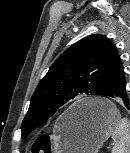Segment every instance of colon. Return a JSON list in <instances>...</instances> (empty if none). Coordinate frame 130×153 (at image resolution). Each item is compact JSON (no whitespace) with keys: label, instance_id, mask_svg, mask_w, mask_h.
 Listing matches in <instances>:
<instances>
[{"label":"colon","instance_id":"obj_1","mask_svg":"<svg viewBox=\"0 0 130 153\" xmlns=\"http://www.w3.org/2000/svg\"><path fill=\"white\" fill-rule=\"evenodd\" d=\"M51 149V140L49 135L39 136L32 147L34 153H49Z\"/></svg>","mask_w":130,"mask_h":153}]
</instances>
